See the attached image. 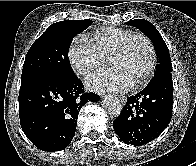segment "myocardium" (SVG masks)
Wrapping results in <instances>:
<instances>
[{
    "instance_id": "f54148a6",
    "label": "myocardium",
    "mask_w": 196,
    "mask_h": 166,
    "mask_svg": "<svg viewBox=\"0 0 196 166\" xmlns=\"http://www.w3.org/2000/svg\"><path fill=\"white\" fill-rule=\"evenodd\" d=\"M137 39H142L147 44L150 50L151 60H150L149 67L147 71L145 72V74H143L137 81L133 83L134 87H139L145 84L151 79V77L154 74L156 63H157V53H156V49H155V46L152 40L145 34L134 33L133 35L126 38L124 42L121 44V46L110 56V59H111L114 57H121L125 55L128 52L131 44Z\"/></svg>"
}]
</instances>
